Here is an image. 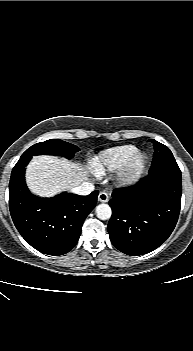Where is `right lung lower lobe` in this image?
I'll list each match as a JSON object with an SVG mask.
<instances>
[{
  "instance_id": "98d812e1",
  "label": "right lung lower lobe",
  "mask_w": 193,
  "mask_h": 351,
  "mask_svg": "<svg viewBox=\"0 0 193 351\" xmlns=\"http://www.w3.org/2000/svg\"><path fill=\"white\" fill-rule=\"evenodd\" d=\"M32 157H21L9 183V207L22 237L38 251L59 256L77 243L83 222L97 202L98 191L87 196L61 193L52 198L31 194L25 183L26 166Z\"/></svg>"
}]
</instances>
